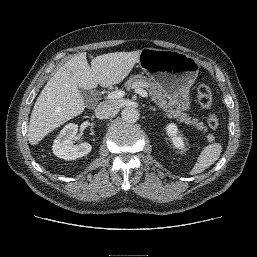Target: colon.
<instances>
[{"mask_svg":"<svg viewBox=\"0 0 257 257\" xmlns=\"http://www.w3.org/2000/svg\"><path fill=\"white\" fill-rule=\"evenodd\" d=\"M197 99L204 108H210L213 103V94L211 88L206 84H201L197 89ZM208 126L215 129L219 125V119L215 114H210L207 118Z\"/></svg>","mask_w":257,"mask_h":257,"instance_id":"obj_1","label":"colon"}]
</instances>
